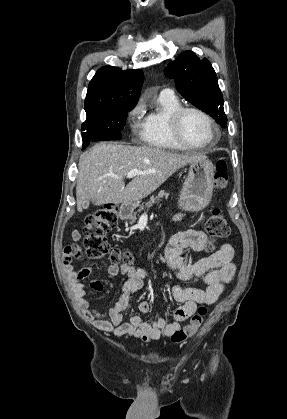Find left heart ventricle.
I'll list each match as a JSON object with an SVG mask.
<instances>
[{
    "instance_id": "obj_1",
    "label": "left heart ventricle",
    "mask_w": 287,
    "mask_h": 419,
    "mask_svg": "<svg viewBox=\"0 0 287 419\" xmlns=\"http://www.w3.org/2000/svg\"><path fill=\"white\" fill-rule=\"evenodd\" d=\"M183 137L192 144H203L211 138V131L207 122L194 112L184 114L181 121Z\"/></svg>"
}]
</instances>
